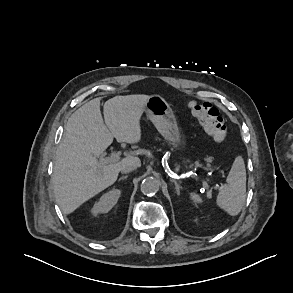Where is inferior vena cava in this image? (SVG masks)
Returning <instances> with one entry per match:
<instances>
[{
    "label": "inferior vena cava",
    "instance_id": "602c4592",
    "mask_svg": "<svg viewBox=\"0 0 293 293\" xmlns=\"http://www.w3.org/2000/svg\"><path fill=\"white\" fill-rule=\"evenodd\" d=\"M138 165L134 162L125 163L121 166V173H129L135 169H137Z\"/></svg>",
    "mask_w": 293,
    "mask_h": 293
}]
</instances>
